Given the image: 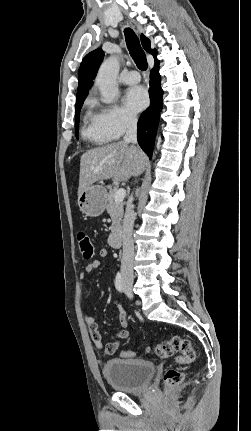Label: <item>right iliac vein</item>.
Segmentation results:
<instances>
[{"label": "right iliac vein", "instance_id": "obj_1", "mask_svg": "<svg viewBox=\"0 0 251 431\" xmlns=\"http://www.w3.org/2000/svg\"><path fill=\"white\" fill-rule=\"evenodd\" d=\"M126 287L131 290V285L130 284H126Z\"/></svg>", "mask_w": 251, "mask_h": 431}]
</instances>
